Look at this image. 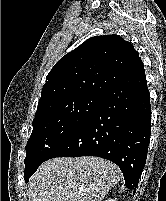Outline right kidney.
<instances>
[{
  "label": "right kidney",
  "mask_w": 166,
  "mask_h": 201,
  "mask_svg": "<svg viewBox=\"0 0 166 201\" xmlns=\"http://www.w3.org/2000/svg\"><path fill=\"white\" fill-rule=\"evenodd\" d=\"M105 201H116L115 199H108V200H105Z\"/></svg>",
  "instance_id": "obj_1"
}]
</instances>
